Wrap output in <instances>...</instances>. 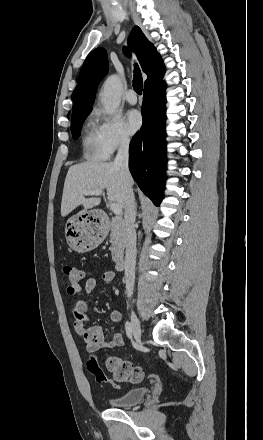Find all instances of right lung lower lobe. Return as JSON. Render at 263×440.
<instances>
[{"instance_id":"right-lung-lower-lobe-1","label":"right lung lower lobe","mask_w":263,"mask_h":440,"mask_svg":"<svg viewBox=\"0 0 263 440\" xmlns=\"http://www.w3.org/2000/svg\"><path fill=\"white\" fill-rule=\"evenodd\" d=\"M162 78L144 86L143 125L129 147L130 172L157 206L163 198L166 170V83Z\"/></svg>"}]
</instances>
